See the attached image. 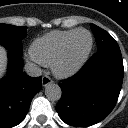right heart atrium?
Returning <instances> with one entry per match:
<instances>
[{
	"label": "right heart atrium",
	"instance_id": "obj_1",
	"mask_svg": "<svg viewBox=\"0 0 128 128\" xmlns=\"http://www.w3.org/2000/svg\"><path fill=\"white\" fill-rule=\"evenodd\" d=\"M27 60H28L29 62H32V63H35V64H40V63H38V62L36 61V59H35L32 55L28 56V57H27Z\"/></svg>",
	"mask_w": 128,
	"mask_h": 128
}]
</instances>
